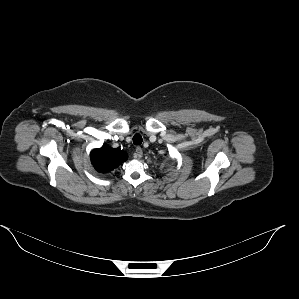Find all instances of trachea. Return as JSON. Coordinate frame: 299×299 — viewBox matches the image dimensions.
<instances>
[{
	"label": "trachea",
	"instance_id": "1",
	"mask_svg": "<svg viewBox=\"0 0 299 299\" xmlns=\"http://www.w3.org/2000/svg\"><path fill=\"white\" fill-rule=\"evenodd\" d=\"M133 143L135 145H141L142 144V136L138 133H136L134 136H133Z\"/></svg>",
	"mask_w": 299,
	"mask_h": 299
}]
</instances>
